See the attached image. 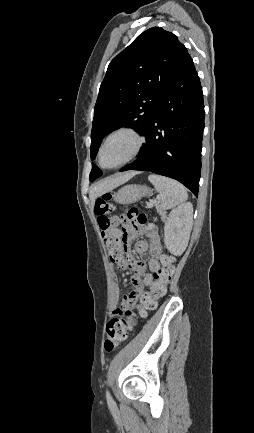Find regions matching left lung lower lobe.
<instances>
[{"mask_svg": "<svg viewBox=\"0 0 254 433\" xmlns=\"http://www.w3.org/2000/svg\"><path fill=\"white\" fill-rule=\"evenodd\" d=\"M203 130L202 87L187 54L144 132L146 144L139 157L120 171H150L167 176L197 196Z\"/></svg>", "mask_w": 254, "mask_h": 433, "instance_id": "obj_1", "label": "left lung lower lobe"}]
</instances>
